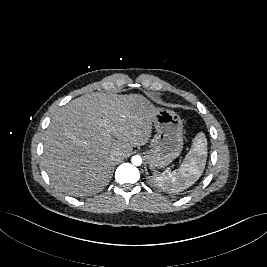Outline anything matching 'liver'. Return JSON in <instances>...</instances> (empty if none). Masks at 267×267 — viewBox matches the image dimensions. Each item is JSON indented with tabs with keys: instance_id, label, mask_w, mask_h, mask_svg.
Wrapping results in <instances>:
<instances>
[{
	"instance_id": "obj_1",
	"label": "liver",
	"mask_w": 267,
	"mask_h": 267,
	"mask_svg": "<svg viewBox=\"0 0 267 267\" xmlns=\"http://www.w3.org/2000/svg\"><path fill=\"white\" fill-rule=\"evenodd\" d=\"M155 108L138 94L93 93L58 110L44 134L43 166L71 196L100 191L110 180L111 153L129 157L151 136Z\"/></svg>"
}]
</instances>
